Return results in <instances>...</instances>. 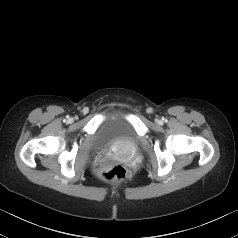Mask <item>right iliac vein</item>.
I'll return each instance as SVG.
<instances>
[{"label":"right iliac vein","mask_w":238,"mask_h":238,"mask_svg":"<svg viewBox=\"0 0 238 238\" xmlns=\"http://www.w3.org/2000/svg\"><path fill=\"white\" fill-rule=\"evenodd\" d=\"M70 122H72L73 120L72 119H69Z\"/></svg>","instance_id":"1"}]
</instances>
